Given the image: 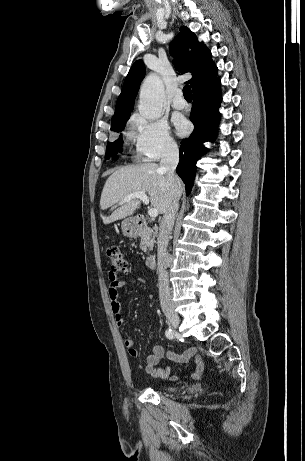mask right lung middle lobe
<instances>
[{"label": "right lung middle lobe", "instance_id": "right-lung-middle-lobe-1", "mask_svg": "<svg viewBox=\"0 0 305 461\" xmlns=\"http://www.w3.org/2000/svg\"><path fill=\"white\" fill-rule=\"evenodd\" d=\"M128 119L119 121L115 123L114 125L111 124V130L115 132H121L126 124V121ZM122 136L120 135L119 139H117L114 142H108L107 143V148H106V156L111 155L113 153H117V151L121 152L122 151ZM108 157H106L107 159Z\"/></svg>", "mask_w": 305, "mask_h": 461}]
</instances>
